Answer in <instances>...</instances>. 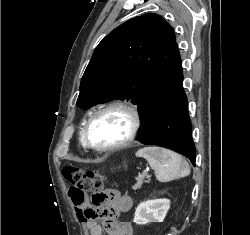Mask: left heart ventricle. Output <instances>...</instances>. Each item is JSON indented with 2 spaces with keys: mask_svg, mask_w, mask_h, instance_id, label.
Wrapping results in <instances>:
<instances>
[{
  "mask_svg": "<svg viewBox=\"0 0 250 235\" xmlns=\"http://www.w3.org/2000/svg\"><path fill=\"white\" fill-rule=\"evenodd\" d=\"M129 129V119L121 111H110L97 116L89 127V139L100 147L122 140Z\"/></svg>",
  "mask_w": 250,
  "mask_h": 235,
  "instance_id": "b2bd125f",
  "label": "left heart ventricle"
}]
</instances>
